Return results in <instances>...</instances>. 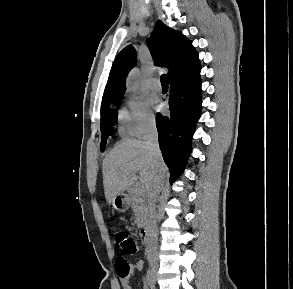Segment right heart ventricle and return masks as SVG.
I'll use <instances>...</instances> for the list:
<instances>
[{
  "instance_id": "right-heart-ventricle-1",
  "label": "right heart ventricle",
  "mask_w": 293,
  "mask_h": 289,
  "mask_svg": "<svg viewBox=\"0 0 293 289\" xmlns=\"http://www.w3.org/2000/svg\"><path fill=\"white\" fill-rule=\"evenodd\" d=\"M119 134L123 137L130 136L132 133L128 117L124 111H121L119 114Z\"/></svg>"
}]
</instances>
